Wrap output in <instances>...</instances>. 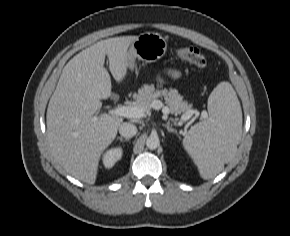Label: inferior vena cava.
<instances>
[{"label":"inferior vena cava","mask_w":290,"mask_h":236,"mask_svg":"<svg viewBox=\"0 0 290 236\" xmlns=\"http://www.w3.org/2000/svg\"><path fill=\"white\" fill-rule=\"evenodd\" d=\"M119 133L125 138H131L136 135L137 127L134 124L124 122L119 126Z\"/></svg>","instance_id":"obj_1"}]
</instances>
